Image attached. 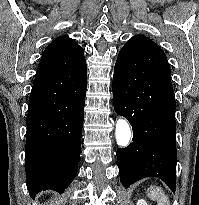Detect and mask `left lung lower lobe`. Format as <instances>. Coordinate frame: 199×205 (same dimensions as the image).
<instances>
[{
    "mask_svg": "<svg viewBox=\"0 0 199 205\" xmlns=\"http://www.w3.org/2000/svg\"><path fill=\"white\" fill-rule=\"evenodd\" d=\"M113 104L133 128L132 142L117 150L120 181L129 187L158 177L175 193V97L171 71L162 49L143 35L119 51L113 76Z\"/></svg>",
    "mask_w": 199,
    "mask_h": 205,
    "instance_id": "obj_1",
    "label": "left lung lower lobe"
}]
</instances>
